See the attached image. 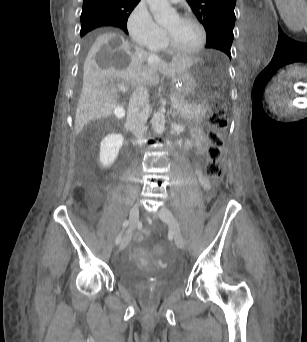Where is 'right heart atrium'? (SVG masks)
<instances>
[{
	"instance_id": "obj_1",
	"label": "right heart atrium",
	"mask_w": 307,
	"mask_h": 342,
	"mask_svg": "<svg viewBox=\"0 0 307 342\" xmlns=\"http://www.w3.org/2000/svg\"><path fill=\"white\" fill-rule=\"evenodd\" d=\"M126 25L130 39L138 46L153 47L160 45L163 41L161 31L144 5H138L131 12Z\"/></svg>"
}]
</instances>
